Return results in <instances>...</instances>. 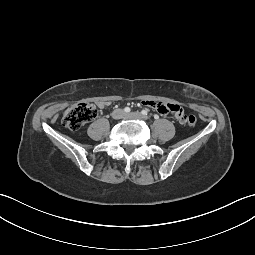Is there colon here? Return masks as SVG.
<instances>
[{
    "instance_id": "colon-1",
    "label": "colon",
    "mask_w": 255,
    "mask_h": 255,
    "mask_svg": "<svg viewBox=\"0 0 255 255\" xmlns=\"http://www.w3.org/2000/svg\"><path fill=\"white\" fill-rule=\"evenodd\" d=\"M98 115V108L95 104L89 102H80L70 105L62 117L63 125L70 130H78L87 122L93 120ZM196 117L190 115L188 118L189 126L196 124Z\"/></svg>"
}]
</instances>
